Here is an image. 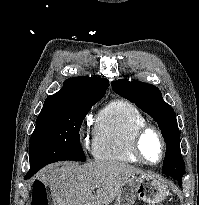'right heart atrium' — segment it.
Wrapping results in <instances>:
<instances>
[{"label": "right heart atrium", "mask_w": 199, "mask_h": 205, "mask_svg": "<svg viewBox=\"0 0 199 205\" xmlns=\"http://www.w3.org/2000/svg\"><path fill=\"white\" fill-rule=\"evenodd\" d=\"M84 133H85V126L84 124L81 126L80 128V131H79V136H80V139L82 140L83 137H84Z\"/></svg>", "instance_id": "right-heart-atrium-1"}]
</instances>
